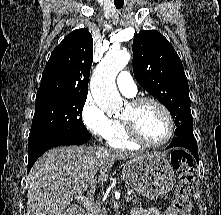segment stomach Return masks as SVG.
Here are the masks:
<instances>
[{
	"label": "stomach",
	"mask_w": 221,
	"mask_h": 215,
	"mask_svg": "<svg viewBox=\"0 0 221 215\" xmlns=\"http://www.w3.org/2000/svg\"><path fill=\"white\" fill-rule=\"evenodd\" d=\"M122 178L136 192L151 200L169 193L175 182L171 162L159 153L129 160L122 169Z\"/></svg>",
	"instance_id": "stomach-1"
}]
</instances>
